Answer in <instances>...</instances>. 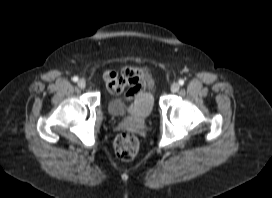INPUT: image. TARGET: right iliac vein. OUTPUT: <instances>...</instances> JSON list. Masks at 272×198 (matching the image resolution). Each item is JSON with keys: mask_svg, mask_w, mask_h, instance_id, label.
<instances>
[{"mask_svg": "<svg viewBox=\"0 0 272 198\" xmlns=\"http://www.w3.org/2000/svg\"><path fill=\"white\" fill-rule=\"evenodd\" d=\"M78 86H79L80 88H85V87H86V80H85V79H80V80L78 81Z\"/></svg>", "mask_w": 272, "mask_h": 198, "instance_id": "63e3f726", "label": "right iliac vein"}]
</instances>
